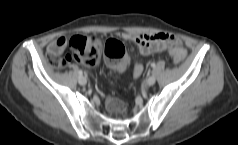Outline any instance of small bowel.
<instances>
[{
	"instance_id": "c3829d8e",
	"label": "small bowel",
	"mask_w": 238,
	"mask_h": 145,
	"mask_svg": "<svg viewBox=\"0 0 238 145\" xmlns=\"http://www.w3.org/2000/svg\"><path fill=\"white\" fill-rule=\"evenodd\" d=\"M118 36L121 39L135 42L138 45L139 51L142 55H151L156 52L168 51L172 49L184 50L179 39L172 34L168 33H156V34H131V33H119ZM66 46V40L63 37L56 38L49 46L48 51L52 55H59L63 52ZM144 67L141 63H136L133 66V76L138 78L143 73Z\"/></svg>"
}]
</instances>
